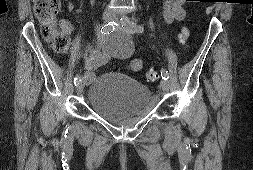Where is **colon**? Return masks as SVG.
Instances as JSON below:
<instances>
[{
	"instance_id": "colon-1",
	"label": "colon",
	"mask_w": 253,
	"mask_h": 170,
	"mask_svg": "<svg viewBox=\"0 0 253 170\" xmlns=\"http://www.w3.org/2000/svg\"><path fill=\"white\" fill-rule=\"evenodd\" d=\"M60 7V0H33L34 14L40 23L43 38L51 43L57 53H65L69 48L70 41L67 34L56 24V16ZM189 37V28L183 26L179 35L181 43L185 44ZM146 78L148 81L155 82L159 80L160 75L156 70H149L146 73Z\"/></svg>"
}]
</instances>
